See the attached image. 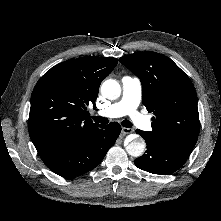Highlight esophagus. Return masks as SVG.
Masks as SVG:
<instances>
[{
  "mask_svg": "<svg viewBox=\"0 0 221 221\" xmlns=\"http://www.w3.org/2000/svg\"><path fill=\"white\" fill-rule=\"evenodd\" d=\"M121 132H122L123 135H126V134L132 133V132H133V129H131V128H126V127H122Z\"/></svg>",
  "mask_w": 221,
  "mask_h": 221,
  "instance_id": "obj_1",
  "label": "esophagus"
}]
</instances>
